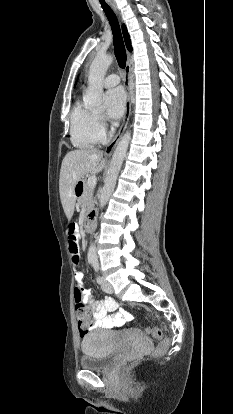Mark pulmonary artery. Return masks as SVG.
<instances>
[{
  "label": "pulmonary artery",
  "mask_w": 233,
  "mask_h": 414,
  "mask_svg": "<svg viewBox=\"0 0 233 414\" xmlns=\"http://www.w3.org/2000/svg\"><path fill=\"white\" fill-rule=\"evenodd\" d=\"M120 82L119 76L116 74H110L108 75L104 81H103V85L105 87H114L116 86L118 83Z\"/></svg>",
  "instance_id": "1"
}]
</instances>
